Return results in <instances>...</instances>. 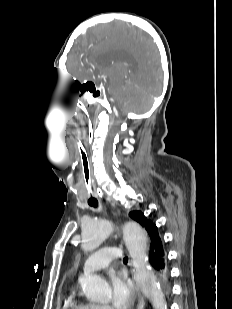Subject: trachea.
<instances>
[{
	"label": "trachea",
	"mask_w": 232,
	"mask_h": 309,
	"mask_svg": "<svg viewBox=\"0 0 232 309\" xmlns=\"http://www.w3.org/2000/svg\"><path fill=\"white\" fill-rule=\"evenodd\" d=\"M76 146H77L78 152L80 154L84 187H85L86 192L88 193V196H89L88 204L92 207L97 208L98 207V201H97L96 198L93 197L92 173H91V165H90V160H89V156H88V151L85 148V146L78 140L76 141ZM123 261H125V262L128 261V258L125 257L123 259Z\"/></svg>",
	"instance_id": "1"
}]
</instances>
